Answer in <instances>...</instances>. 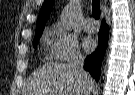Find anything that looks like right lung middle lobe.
Masks as SVG:
<instances>
[{"label":"right lung middle lobe","mask_w":135,"mask_h":95,"mask_svg":"<svg viewBox=\"0 0 135 95\" xmlns=\"http://www.w3.org/2000/svg\"><path fill=\"white\" fill-rule=\"evenodd\" d=\"M41 35H42V31H41V32H37V33L35 34L33 47H36V46H37L38 41H39V39H40Z\"/></svg>","instance_id":"dd1d6c3e"}]
</instances>
